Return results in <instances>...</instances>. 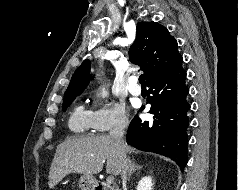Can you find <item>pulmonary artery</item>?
I'll list each match as a JSON object with an SVG mask.
<instances>
[{
    "label": "pulmonary artery",
    "instance_id": "1",
    "mask_svg": "<svg viewBox=\"0 0 238 190\" xmlns=\"http://www.w3.org/2000/svg\"><path fill=\"white\" fill-rule=\"evenodd\" d=\"M128 91L134 96H139L141 94V88L137 85V78L134 76L129 79Z\"/></svg>",
    "mask_w": 238,
    "mask_h": 190
}]
</instances>
